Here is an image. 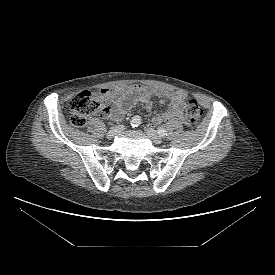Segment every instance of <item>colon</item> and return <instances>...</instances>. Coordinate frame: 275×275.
Returning a JSON list of instances; mask_svg holds the SVG:
<instances>
[{"label": "colon", "instance_id": "5ec220e1", "mask_svg": "<svg viewBox=\"0 0 275 275\" xmlns=\"http://www.w3.org/2000/svg\"><path fill=\"white\" fill-rule=\"evenodd\" d=\"M106 109L102 94L83 91L75 95L69 102L70 122L75 127H83L87 118L95 112ZM203 111L196 100L186 98V120L190 125H197L202 118Z\"/></svg>", "mask_w": 275, "mask_h": 275}]
</instances>
